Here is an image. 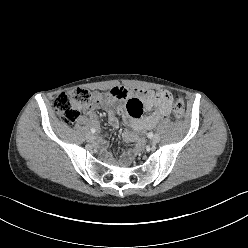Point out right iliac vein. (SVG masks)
Segmentation results:
<instances>
[{"label": "right iliac vein", "instance_id": "63e3f726", "mask_svg": "<svg viewBox=\"0 0 248 248\" xmlns=\"http://www.w3.org/2000/svg\"><path fill=\"white\" fill-rule=\"evenodd\" d=\"M86 140H87L88 142L92 143V142L95 141V136L89 133V134H87V136H86Z\"/></svg>", "mask_w": 248, "mask_h": 248}]
</instances>
